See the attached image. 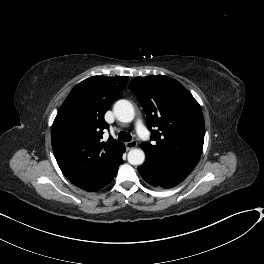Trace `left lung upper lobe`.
Masks as SVG:
<instances>
[{"mask_svg": "<svg viewBox=\"0 0 264 264\" xmlns=\"http://www.w3.org/2000/svg\"><path fill=\"white\" fill-rule=\"evenodd\" d=\"M129 89L142 104L151 140L156 141L155 145L142 143L146 159L162 168L190 174L204 142L199 103L181 83L163 75L136 77Z\"/></svg>", "mask_w": 264, "mask_h": 264, "instance_id": "obj_1", "label": "left lung upper lobe"}]
</instances>
